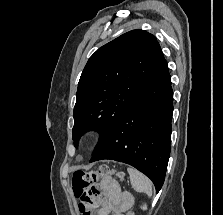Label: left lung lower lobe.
Here are the masks:
<instances>
[{
    "label": "left lung lower lobe",
    "instance_id": "1",
    "mask_svg": "<svg viewBox=\"0 0 223 215\" xmlns=\"http://www.w3.org/2000/svg\"><path fill=\"white\" fill-rule=\"evenodd\" d=\"M173 91L165 61L89 162L110 159L137 168L161 189L170 156Z\"/></svg>",
    "mask_w": 223,
    "mask_h": 215
}]
</instances>
